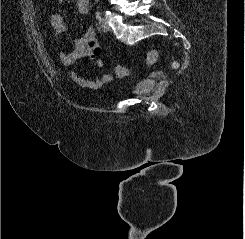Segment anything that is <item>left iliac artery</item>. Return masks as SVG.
Listing matches in <instances>:
<instances>
[{"label": "left iliac artery", "instance_id": "left-iliac-artery-1", "mask_svg": "<svg viewBox=\"0 0 245 239\" xmlns=\"http://www.w3.org/2000/svg\"><path fill=\"white\" fill-rule=\"evenodd\" d=\"M95 18H96L98 21L101 20V14H100L99 11H96V12H95Z\"/></svg>", "mask_w": 245, "mask_h": 239}]
</instances>
